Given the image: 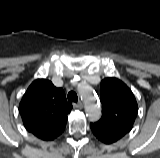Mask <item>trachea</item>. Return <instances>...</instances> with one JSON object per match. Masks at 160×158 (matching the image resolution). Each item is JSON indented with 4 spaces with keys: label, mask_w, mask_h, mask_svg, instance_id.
<instances>
[{
    "label": "trachea",
    "mask_w": 160,
    "mask_h": 158,
    "mask_svg": "<svg viewBox=\"0 0 160 158\" xmlns=\"http://www.w3.org/2000/svg\"><path fill=\"white\" fill-rule=\"evenodd\" d=\"M67 98H68V101H73V102H77L78 101L77 94L74 91H70L68 93Z\"/></svg>",
    "instance_id": "3493384b"
}]
</instances>
